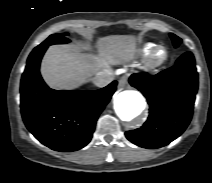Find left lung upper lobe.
Returning <instances> with one entry per match:
<instances>
[{
    "instance_id": "5c2ea615",
    "label": "left lung upper lobe",
    "mask_w": 212,
    "mask_h": 183,
    "mask_svg": "<svg viewBox=\"0 0 212 183\" xmlns=\"http://www.w3.org/2000/svg\"><path fill=\"white\" fill-rule=\"evenodd\" d=\"M170 36L173 40L174 46L177 47L181 43V39L172 33L170 34Z\"/></svg>"
}]
</instances>
